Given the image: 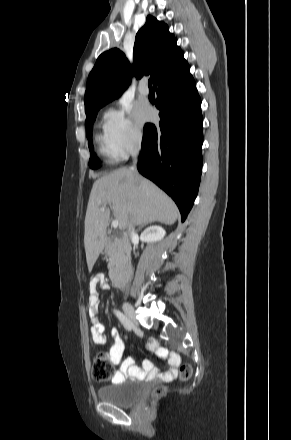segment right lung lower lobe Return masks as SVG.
<instances>
[{
    "instance_id": "obj_1",
    "label": "right lung lower lobe",
    "mask_w": 291,
    "mask_h": 440,
    "mask_svg": "<svg viewBox=\"0 0 291 440\" xmlns=\"http://www.w3.org/2000/svg\"><path fill=\"white\" fill-rule=\"evenodd\" d=\"M189 65L154 88L158 125L146 124L139 172L162 188L177 204L184 221L198 193L202 171L201 99Z\"/></svg>"
}]
</instances>
